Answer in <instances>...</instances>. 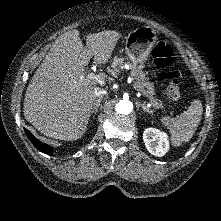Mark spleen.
I'll return each mask as SVG.
<instances>
[{
  "instance_id": "3e777b00",
  "label": "spleen",
  "mask_w": 221,
  "mask_h": 221,
  "mask_svg": "<svg viewBox=\"0 0 221 221\" xmlns=\"http://www.w3.org/2000/svg\"><path fill=\"white\" fill-rule=\"evenodd\" d=\"M202 113V103L199 99H195L188 110L177 117L164 116L161 118V123L171 133V142L174 146H180L192 138L201 121Z\"/></svg>"
}]
</instances>
